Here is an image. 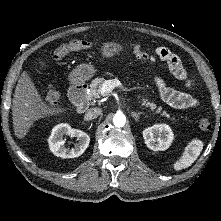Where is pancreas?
Wrapping results in <instances>:
<instances>
[{"label":"pancreas","mask_w":221,"mask_h":221,"mask_svg":"<svg viewBox=\"0 0 221 221\" xmlns=\"http://www.w3.org/2000/svg\"><path fill=\"white\" fill-rule=\"evenodd\" d=\"M105 79L100 77V78H95L92 80L91 84H90V91L88 93V97L90 99H97L100 98L101 96V87L102 85L105 83ZM142 105L150 108L152 111H155L156 113H161L160 115L162 117H165L171 121H173V123L176 122L175 118L171 117V115L169 113H167L166 111L161 112L162 108L161 107H157L155 103L153 102H149L147 99H142Z\"/></svg>","instance_id":"1"}]
</instances>
